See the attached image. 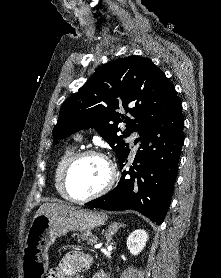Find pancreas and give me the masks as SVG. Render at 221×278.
Segmentation results:
<instances>
[{
	"instance_id": "pancreas-1",
	"label": "pancreas",
	"mask_w": 221,
	"mask_h": 278,
	"mask_svg": "<svg viewBox=\"0 0 221 278\" xmlns=\"http://www.w3.org/2000/svg\"><path fill=\"white\" fill-rule=\"evenodd\" d=\"M77 236L78 242H86L87 245H95L97 243V236L93 235L91 232H86L82 234H74V237Z\"/></svg>"
}]
</instances>
